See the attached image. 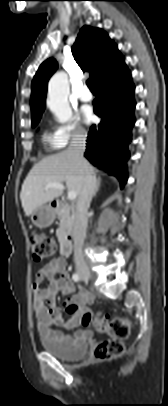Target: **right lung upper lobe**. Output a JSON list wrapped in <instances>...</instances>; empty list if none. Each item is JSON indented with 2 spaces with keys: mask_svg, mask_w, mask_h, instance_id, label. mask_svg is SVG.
Listing matches in <instances>:
<instances>
[{
  "mask_svg": "<svg viewBox=\"0 0 168 406\" xmlns=\"http://www.w3.org/2000/svg\"><path fill=\"white\" fill-rule=\"evenodd\" d=\"M74 59L83 71H89L95 85L102 82L121 67L124 57L108 34L99 28L84 26L72 47ZM57 69L54 58L44 61L32 81V123L39 121L45 108L47 83Z\"/></svg>",
  "mask_w": 168,
  "mask_h": 406,
  "instance_id": "right-lung-upper-lobe-1",
  "label": "right lung upper lobe"
}]
</instances>
